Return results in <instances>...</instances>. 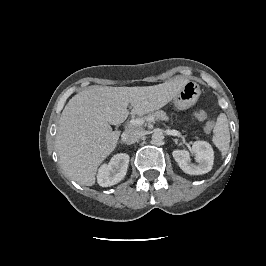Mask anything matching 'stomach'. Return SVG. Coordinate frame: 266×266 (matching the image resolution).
I'll use <instances>...</instances> for the list:
<instances>
[{
    "label": "stomach",
    "mask_w": 266,
    "mask_h": 266,
    "mask_svg": "<svg viewBox=\"0 0 266 266\" xmlns=\"http://www.w3.org/2000/svg\"><path fill=\"white\" fill-rule=\"evenodd\" d=\"M200 93L199 85L196 82L186 81L173 97V103L179 110L188 109L197 102Z\"/></svg>",
    "instance_id": "obj_1"
}]
</instances>
